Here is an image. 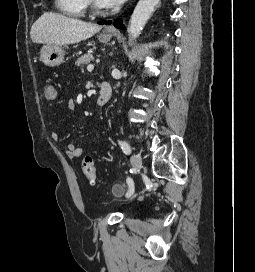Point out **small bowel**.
Wrapping results in <instances>:
<instances>
[{
    "label": "small bowel",
    "instance_id": "c3829d8e",
    "mask_svg": "<svg viewBox=\"0 0 255 272\" xmlns=\"http://www.w3.org/2000/svg\"><path fill=\"white\" fill-rule=\"evenodd\" d=\"M67 108L71 113H73L76 110V105L74 102H69L67 104ZM50 137L53 141H59L60 132L58 130L53 131ZM65 152L69 159H76L83 154V149L74 143H68L65 147Z\"/></svg>",
    "mask_w": 255,
    "mask_h": 272
}]
</instances>
